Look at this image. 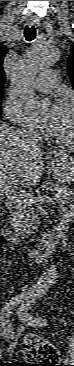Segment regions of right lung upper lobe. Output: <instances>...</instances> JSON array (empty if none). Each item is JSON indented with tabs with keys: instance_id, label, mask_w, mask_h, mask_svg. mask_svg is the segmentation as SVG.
I'll list each match as a JSON object with an SVG mask.
<instances>
[{
	"instance_id": "right-lung-upper-lobe-1",
	"label": "right lung upper lobe",
	"mask_w": 74,
	"mask_h": 366,
	"mask_svg": "<svg viewBox=\"0 0 74 366\" xmlns=\"http://www.w3.org/2000/svg\"><path fill=\"white\" fill-rule=\"evenodd\" d=\"M7 48L0 44V92L2 91L4 82H5V74L2 68V63L5 55L7 54Z\"/></svg>"
}]
</instances>
